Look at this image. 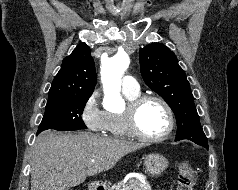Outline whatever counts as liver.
<instances>
[{
	"mask_svg": "<svg viewBox=\"0 0 238 190\" xmlns=\"http://www.w3.org/2000/svg\"><path fill=\"white\" fill-rule=\"evenodd\" d=\"M143 145L91 133L60 134L46 130L32 149L31 190H65L88 176L108 171Z\"/></svg>",
	"mask_w": 238,
	"mask_h": 190,
	"instance_id": "1",
	"label": "liver"
}]
</instances>
